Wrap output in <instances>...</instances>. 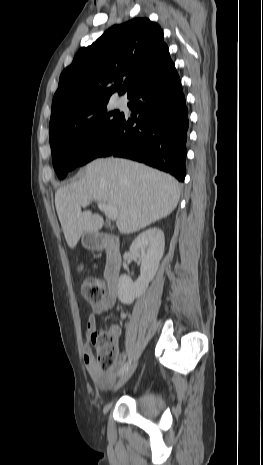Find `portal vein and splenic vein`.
I'll use <instances>...</instances> for the list:
<instances>
[{"instance_id": "1", "label": "portal vein and splenic vein", "mask_w": 263, "mask_h": 465, "mask_svg": "<svg viewBox=\"0 0 263 465\" xmlns=\"http://www.w3.org/2000/svg\"><path fill=\"white\" fill-rule=\"evenodd\" d=\"M90 201H85L81 204L82 207H86ZM98 208L104 212L110 220H116L118 217V209L115 207H112L108 204L98 202Z\"/></svg>"}]
</instances>
